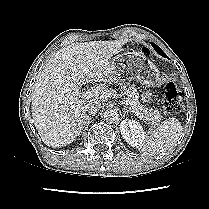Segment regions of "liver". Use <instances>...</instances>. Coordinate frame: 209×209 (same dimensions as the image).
I'll return each instance as SVG.
<instances>
[{
	"label": "liver",
	"instance_id": "liver-1",
	"mask_svg": "<svg viewBox=\"0 0 209 209\" xmlns=\"http://www.w3.org/2000/svg\"><path fill=\"white\" fill-rule=\"evenodd\" d=\"M128 39L73 43L59 49L40 73L32 96L33 123L44 144L60 148L72 143L86 120V105L105 102L116 92L106 83L116 81L113 55ZM95 87L94 99H80V86Z\"/></svg>",
	"mask_w": 209,
	"mask_h": 209
}]
</instances>
